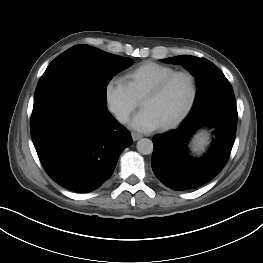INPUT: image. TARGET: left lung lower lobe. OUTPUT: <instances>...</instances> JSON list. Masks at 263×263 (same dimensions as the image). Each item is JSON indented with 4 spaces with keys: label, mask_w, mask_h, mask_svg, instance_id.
Here are the masks:
<instances>
[{
    "label": "left lung lower lobe",
    "mask_w": 263,
    "mask_h": 263,
    "mask_svg": "<svg viewBox=\"0 0 263 263\" xmlns=\"http://www.w3.org/2000/svg\"><path fill=\"white\" fill-rule=\"evenodd\" d=\"M235 97L217 98L191 111L174 131L153 137L152 169L167 187L184 191L198 188L217 176L227 163L237 127ZM212 131L209 150L200 158L188 150L192 135L200 128Z\"/></svg>",
    "instance_id": "obj_1"
}]
</instances>
